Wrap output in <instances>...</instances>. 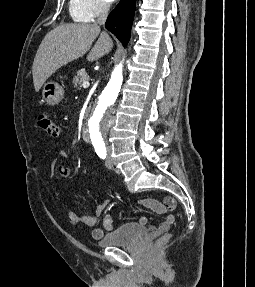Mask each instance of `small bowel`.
Segmentation results:
<instances>
[{
	"label": "small bowel",
	"mask_w": 255,
	"mask_h": 287,
	"mask_svg": "<svg viewBox=\"0 0 255 287\" xmlns=\"http://www.w3.org/2000/svg\"><path fill=\"white\" fill-rule=\"evenodd\" d=\"M59 155L61 157H67L66 151H60ZM60 173L62 175H67L68 171L65 169H60ZM137 203L153 210L154 212L158 214H164L165 219L159 224V225H151L149 226V232L154 235H159L161 233L169 231L171 225L175 221V216L172 214V211L174 210L176 206V202L171 197H166L163 202H160L156 199L151 198H142L138 199ZM117 204H112V206H116ZM111 206L110 202H104L97 206L95 213L92 215H84L79 214L76 212H69L68 216L71 221V223L77 228V229H84V227H90L91 235L95 239H99L104 231H111L113 229V219L109 212H106L107 208ZM102 217V228L96 227V224L98 223L99 219ZM138 223L141 226H145L148 223V218L146 216H141L138 219Z\"/></svg>",
	"instance_id": "c3829d8e"
}]
</instances>
